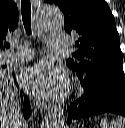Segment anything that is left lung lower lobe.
<instances>
[{"instance_id": "left-lung-lower-lobe-1", "label": "left lung lower lobe", "mask_w": 125, "mask_h": 128, "mask_svg": "<svg viewBox=\"0 0 125 128\" xmlns=\"http://www.w3.org/2000/svg\"><path fill=\"white\" fill-rule=\"evenodd\" d=\"M78 77L84 94L67 108V123L102 113H115L125 117V76H115L95 88L87 86Z\"/></svg>"}]
</instances>
